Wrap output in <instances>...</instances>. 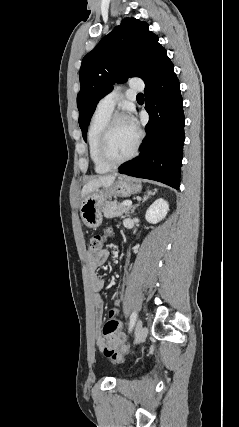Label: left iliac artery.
I'll return each instance as SVG.
<instances>
[{"mask_svg":"<svg viewBox=\"0 0 239 427\" xmlns=\"http://www.w3.org/2000/svg\"><path fill=\"white\" fill-rule=\"evenodd\" d=\"M136 319H137V313L133 312L131 314V316H130V327H129V330H131L133 328V326H134V324L136 322Z\"/></svg>","mask_w":239,"mask_h":427,"instance_id":"left-iliac-artery-1","label":"left iliac artery"}]
</instances>
